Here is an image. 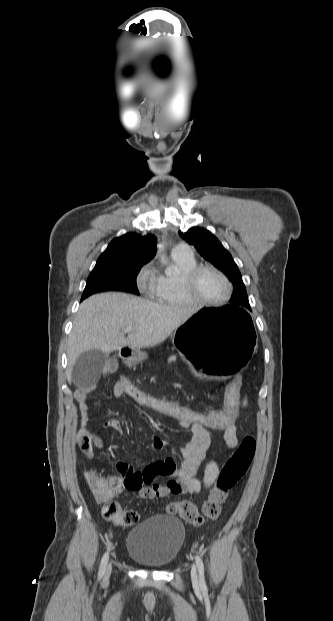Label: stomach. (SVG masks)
Masks as SVG:
<instances>
[{
  "label": "stomach",
  "instance_id": "obj_1",
  "mask_svg": "<svg viewBox=\"0 0 333 621\" xmlns=\"http://www.w3.org/2000/svg\"><path fill=\"white\" fill-rule=\"evenodd\" d=\"M171 339L187 363L201 368L208 384L216 388L223 379H235L250 367L256 336L250 313L225 305L187 315ZM146 357L145 352L133 349L129 361L137 363Z\"/></svg>",
  "mask_w": 333,
  "mask_h": 621
}]
</instances>
